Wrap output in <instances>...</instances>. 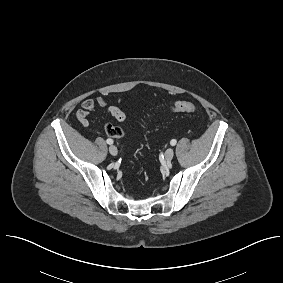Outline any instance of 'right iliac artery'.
<instances>
[{
    "instance_id": "82829eb1",
    "label": "right iliac artery",
    "mask_w": 283,
    "mask_h": 283,
    "mask_svg": "<svg viewBox=\"0 0 283 283\" xmlns=\"http://www.w3.org/2000/svg\"><path fill=\"white\" fill-rule=\"evenodd\" d=\"M106 142H107V144H113V140L112 139H110V138H108L107 140H106Z\"/></svg>"
}]
</instances>
